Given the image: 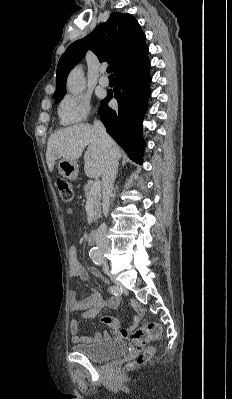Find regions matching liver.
I'll use <instances>...</instances> for the list:
<instances>
[{"instance_id": "obj_1", "label": "liver", "mask_w": 232, "mask_h": 399, "mask_svg": "<svg viewBox=\"0 0 232 399\" xmlns=\"http://www.w3.org/2000/svg\"><path fill=\"white\" fill-rule=\"evenodd\" d=\"M86 146H88L84 154V170L88 178H100L105 170L107 146L102 144L95 126L90 124H75L70 128H63L51 134L46 152V162L49 172H53L55 160L63 158L70 162H77L82 156ZM114 150L118 158L121 152L114 144Z\"/></svg>"}]
</instances>
